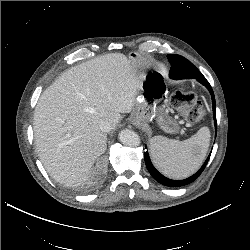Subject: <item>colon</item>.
Listing matches in <instances>:
<instances>
[{"label": "colon", "instance_id": "5ec220e1", "mask_svg": "<svg viewBox=\"0 0 250 250\" xmlns=\"http://www.w3.org/2000/svg\"><path fill=\"white\" fill-rule=\"evenodd\" d=\"M173 106L189 122H197L205 115L204 106L191 92L178 91L171 98Z\"/></svg>", "mask_w": 250, "mask_h": 250}]
</instances>
